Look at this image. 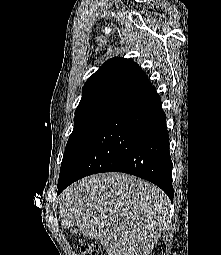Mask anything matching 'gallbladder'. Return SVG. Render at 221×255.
<instances>
[{
  "mask_svg": "<svg viewBox=\"0 0 221 255\" xmlns=\"http://www.w3.org/2000/svg\"><path fill=\"white\" fill-rule=\"evenodd\" d=\"M71 232L73 234H76L78 232V227L76 225H73L71 228H70Z\"/></svg>",
  "mask_w": 221,
  "mask_h": 255,
  "instance_id": "bac80fb5",
  "label": "gallbladder"
}]
</instances>
